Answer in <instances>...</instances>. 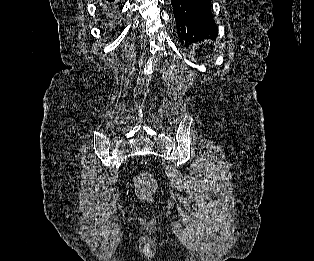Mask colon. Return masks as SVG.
Segmentation results:
<instances>
[{"mask_svg":"<svg viewBox=\"0 0 314 261\" xmlns=\"http://www.w3.org/2000/svg\"><path fill=\"white\" fill-rule=\"evenodd\" d=\"M135 185L138 196L146 201L154 199L156 183L151 174L140 172L135 176Z\"/></svg>","mask_w":314,"mask_h":261,"instance_id":"obj_1","label":"colon"}]
</instances>
